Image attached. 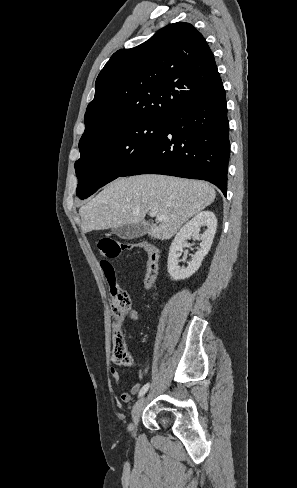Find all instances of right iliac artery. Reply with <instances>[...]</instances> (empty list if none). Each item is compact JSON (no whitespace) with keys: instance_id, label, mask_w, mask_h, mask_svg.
<instances>
[{"instance_id":"1","label":"right iliac artery","mask_w":297,"mask_h":488,"mask_svg":"<svg viewBox=\"0 0 297 488\" xmlns=\"http://www.w3.org/2000/svg\"><path fill=\"white\" fill-rule=\"evenodd\" d=\"M149 386H150V384H149V383L145 384V385H144V386L141 388V390H140V392H139V394H138V397L143 396V395H144V394L147 392V390H148Z\"/></svg>"}]
</instances>
